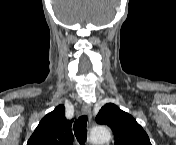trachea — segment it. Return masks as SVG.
<instances>
[{"label": "trachea", "mask_w": 176, "mask_h": 145, "mask_svg": "<svg viewBox=\"0 0 176 145\" xmlns=\"http://www.w3.org/2000/svg\"><path fill=\"white\" fill-rule=\"evenodd\" d=\"M86 127H87V116L86 115L80 116L78 120L75 121L74 126H73L76 139L81 145H83L87 139Z\"/></svg>", "instance_id": "1"}]
</instances>
